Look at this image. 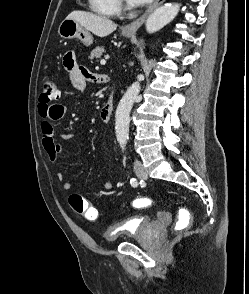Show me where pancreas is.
Instances as JSON below:
<instances>
[{
  "mask_svg": "<svg viewBox=\"0 0 249 294\" xmlns=\"http://www.w3.org/2000/svg\"><path fill=\"white\" fill-rule=\"evenodd\" d=\"M105 52L103 47H96L94 50H92L90 54V59L93 60L94 58L98 59L101 57V55Z\"/></svg>",
  "mask_w": 249,
  "mask_h": 294,
  "instance_id": "1",
  "label": "pancreas"
}]
</instances>
